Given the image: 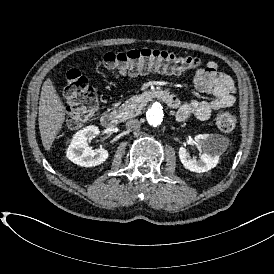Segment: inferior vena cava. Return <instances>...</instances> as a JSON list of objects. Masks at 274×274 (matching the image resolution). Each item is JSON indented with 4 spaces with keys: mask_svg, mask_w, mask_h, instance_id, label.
<instances>
[{
    "mask_svg": "<svg viewBox=\"0 0 274 274\" xmlns=\"http://www.w3.org/2000/svg\"><path fill=\"white\" fill-rule=\"evenodd\" d=\"M125 127L129 130H137L141 127V123L138 119L131 118L126 121Z\"/></svg>",
    "mask_w": 274,
    "mask_h": 274,
    "instance_id": "inferior-vena-cava-1",
    "label": "inferior vena cava"
}]
</instances>
